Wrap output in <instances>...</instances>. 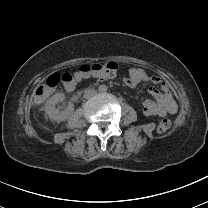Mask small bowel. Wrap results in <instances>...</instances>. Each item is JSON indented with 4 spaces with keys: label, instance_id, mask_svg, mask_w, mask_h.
Masks as SVG:
<instances>
[{
    "label": "small bowel",
    "instance_id": "obj_1",
    "mask_svg": "<svg viewBox=\"0 0 208 208\" xmlns=\"http://www.w3.org/2000/svg\"><path fill=\"white\" fill-rule=\"evenodd\" d=\"M106 79L114 80L115 76L111 74L96 76V81H105ZM141 82H151L160 86V90L150 88L148 93L155 100L146 99L142 103L144 115L149 117H164L168 114H174L177 111V104L173 99L172 92L165 80L158 75H148L145 71L138 68L128 70V76L124 83L128 87H136ZM75 85L65 86L67 91H72Z\"/></svg>",
    "mask_w": 208,
    "mask_h": 208
}]
</instances>
